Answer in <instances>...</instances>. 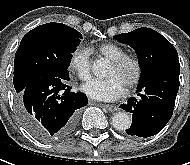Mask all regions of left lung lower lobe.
Segmentation results:
<instances>
[{
	"label": "left lung lower lobe",
	"mask_w": 190,
	"mask_h": 165,
	"mask_svg": "<svg viewBox=\"0 0 190 165\" xmlns=\"http://www.w3.org/2000/svg\"><path fill=\"white\" fill-rule=\"evenodd\" d=\"M180 66L155 70L139 81V98L131 97L120 108L132 113V125L126 132L150 137L160 132L170 120L179 89Z\"/></svg>",
	"instance_id": "left-lung-lower-lobe-1"
}]
</instances>
